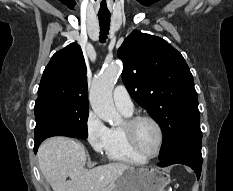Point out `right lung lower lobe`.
<instances>
[{"mask_svg":"<svg viewBox=\"0 0 233 191\" xmlns=\"http://www.w3.org/2000/svg\"><path fill=\"white\" fill-rule=\"evenodd\" d=\"M45 140L44 138L43 139H40V140H35V146H34V152L36 153L37 150H38V147L39 145L41 144V142Z\"/></svg>","mask_w":233,"mask_h":191,"instance_id":"obj_1","label":"right lung lower lobe"}]
</instances>
